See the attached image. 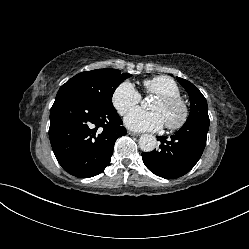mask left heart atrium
<instances>
[{
	"instance_id": "39dd6f15",
	"label": "left heart atrium",
	"mask_w": 249,
	"mask_h": 249,
	"mask_svg": "<svg viewBox=\"0 0 249 249\" xmlns=\"http://www.w3.org/2000/svg\"><path fill=\"white\" fill-rule=\"evenodd\" d=\"M125 125L135 131H157L165 123L157 111H145L141 108L132 109L124 119Z\"/></svg>"
}]
</instances>
